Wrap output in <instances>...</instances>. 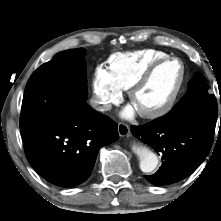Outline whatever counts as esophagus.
I'll return each instance as SVG.
<instances>
[{
  "instance_id": "1",
  "label": "esophagus",
  "mask_w": 221,
  "mask_h": 221,
  "mask_svg": "<svg viewBox=\"0 0 221 221\" xmlns=\"http://www.w3.org/2000/svg\"><path fill=\"white\" fill-rule=\"evenodd\" d=\"M118 133L121 137L129 136L130 134V128L125 123H119L118 124Z\"/></svg>"
}]
</instances>
